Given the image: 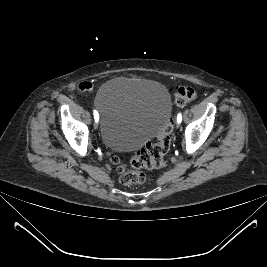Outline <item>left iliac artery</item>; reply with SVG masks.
<instances>
[{
  "label": "left iliac artery",
  "instance_id": "44dca946",
  "mask_svg": "<svg viewBox=\"0 0 267 267\" xmlns=\"http://www.w3.org/2000/svg\"><path fill=\"white\" fill-rule=\"evenodd\" d=\"M181 121H182V115H181V113H179L177 116V122L180 123Z\"/></svg>",
  "mask_w": 267,
  "mask_h": 267
}]
</instances>
